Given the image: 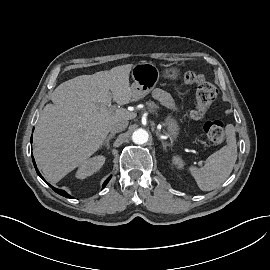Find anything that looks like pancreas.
Wrapping results in <instances>:
<instances>
[{
	"label": "pancreas",
	"mask_w": 270,
	"mask_h": 270,
	"mask_svg": "<svg viewBox=\"0 0 270 270\" xmlns=\"http://www.w3.org/2000/svg\"><path fill=\"white\" fill-rule=\"evenodd\" d=\"M146 105L148 106L150 111H156L159 107L157 104H155L153 101L146 102Z\"/></svg>",
	"instance_id": "1"
}]
</instances>
